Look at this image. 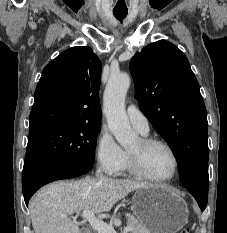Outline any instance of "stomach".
I'll return each mask as SVG.
<instances>
[{
    "label": "stomach",
    "instance_id": "1",
    "mask_svg": "<svg viewBox=\"0 0 227 233\" xmlns=\"http://www.w3.org/2000/svg\"><path fill=\"white\" fill-rule=\"evenodd\" d=\"M132 210L152 233H176L188 223L185 201L167 186L151 185L136 190Z\"/></svg>",
    "mask_w": 227,
    "mask_h": 233
}]
</instances>
